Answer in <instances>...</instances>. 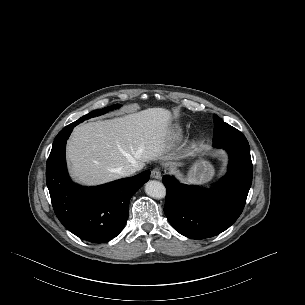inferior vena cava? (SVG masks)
<instances>
[{
  "mask_svg": "<svg viewBox=\"0 0 305 305\" xmlns=\"http://www.w3.org/2000/svg\"><path fill=\"white\" fill-rule=\"evenodd\" d=\"M143 167V164L134 163L126 164L124 166L117 167L114 171L122 177H128L139 171Z\"/></svg>",
  "mask_w": 305,
  "mask_h": 305,
  "instance_id": "obj_1",
  "label": "inferior vena cava"
}]
</instances>
